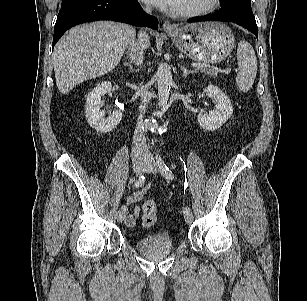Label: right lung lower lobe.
Segmentation results:
<instances>
[{
	"mask_svg": "<svg viewBox=\"0 0 307 301\" xmlns=\"http://www.w3.org/2000/svg\"><path fill=\"white\" fill-rule=\"evenodd\" d=\"M96 20H114L153 29L158 26V19L145 13L137 0H62L52 47L69 28Z\"/></svg>",
	"mask_w": 307,
	"mask_h": 301,
	"instance_id": "1",
	"label": "right lung lower lobe"
}]
</instances>
